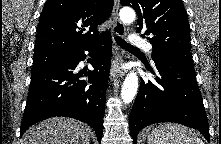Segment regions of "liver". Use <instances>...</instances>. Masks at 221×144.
I'll list each match as a JSON object with an SVG mask.
<instances>
[{"label":"liver","instance_id":"6515ba94","mask_svg":"<svg viewBox=\"0 0 221 144\" xmlns=\"http://www.w3.org/2000/svg\"><path fill=\"white\" fill-rule=\"evenodd\" d=\"M91 129L65 117H54L30 127L21 144H89Z\"/></svg>","mask_w":221,"mask_h":144}]
</instances>
